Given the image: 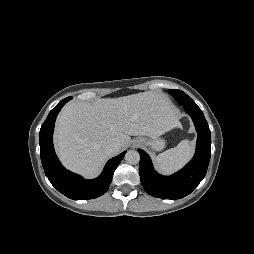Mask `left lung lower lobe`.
I'll return each instance as SVG.
<instances>
[{"instance_id":"left-lung-lower-lobe-1","label":"left lung lower lobe","mask_w":254,"mask_h":254,"mask_svg":"<svg viewBox=\"0 0 254 254\" xmlns=\"http://www.w3.org/2000/svg\"><path fill=\"white\" fill-rule=\"evenodd\" d=\"M192 118L198 133L196 152L193 159L172 176L158 174L152 166L150 157L143 150L140 154L139 173L144 190L162 199H180L190 194L205 177L210 161L211 132L200 108L184 107Z\"/></svg>"}]
</instances>
